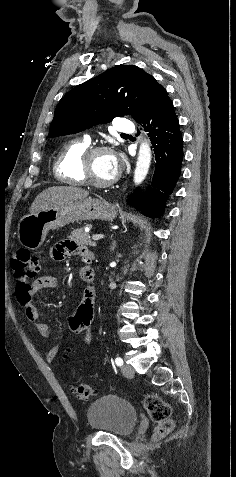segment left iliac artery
Here are the masks:
<instances>
[{
  "mask_svg": "<svg viewBox=\"0 0 236 477\" xmlns=\"http://www.w3.org/2000/svg\"><path fill=\"white\" fill-rule=\"evenodd\" d=\"M115 363H116L117 366H122V365H123V360H122V358L117 357V358L115 359Z\"/></svg>",
  "mask_w": 236,
  "mask_h": 477,
  "instance_id": "left-iliac-artery-1",
  "label": "left iliac artery"
}]
</instances>
